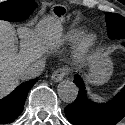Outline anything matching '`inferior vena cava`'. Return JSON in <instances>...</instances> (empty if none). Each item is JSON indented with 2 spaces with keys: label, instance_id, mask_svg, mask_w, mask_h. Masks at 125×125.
Masks as SVG:
<instances>
[{
  "label": "inferior vena cava",
  "instance_id": "1",
  "mask_svg": "<svg viewBox=\"0 0 125 125\" xmlns=\"http://www.w3.org/2000/svg\"><path fill=\"white\" fill-rule=\"evenodd\" d=\"M44 67H45V62L39 60L22 72V78L34 79L41 74V71H43Z\"/></svg>",
  "mask_w": 125,
  "mask_h": 125
}]
</instances>
